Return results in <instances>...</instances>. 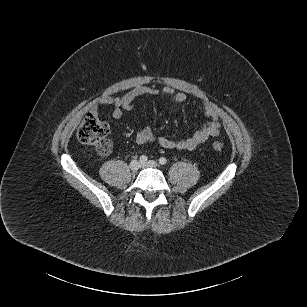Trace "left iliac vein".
<instances>
[{"mask_svg":"<svg viewBox=\"0 0 307 307\" xmlns=\"http://www.w3.org/2000/svg\"><path fill=\"white\" fill-rule=\"evenodd\" d=\"M143 168H156L158 163L154 160H150L148 162L142 163L141 165Z\"/></svg>","mask_w":307,"mask_h":307,"instance_id":"4c4485c4","label":"left iliac vein"}]
</instances>
